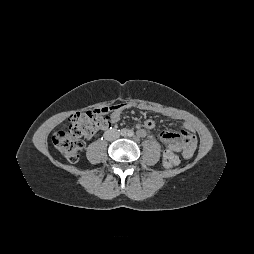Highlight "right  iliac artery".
I'll list each match as a JSON object with an SVG mask.
<instances>
[{
    "label": "right iliac artery",
    "mask_w": 254,
    "mask_h": 254,
    "mask_svg": "<svg viewBox=\"0 0 254 254\" xmlns=\"http://www.w3.org/2000/svg\"><path fill=\"white\" fill-rule=\"evenodd\" d=\"M120 134L124 136V135L127 134V131H126L125 129H122V130L120 131Z\"/></svg>",
    "instance_id": "right-iliac-artery-1"
}]
</instances>
